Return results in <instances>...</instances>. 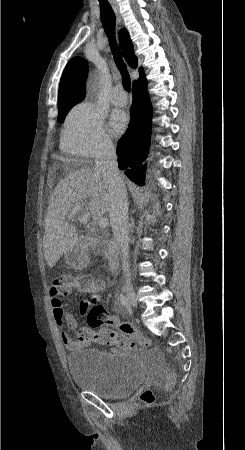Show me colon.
Wrapping results in <instances>:
<instances>
[{
	"instance_id": "obj_1",
	"label": "colon",
	"mask_w": 245,
	"mask_h": 450,
	"mask_svg": "<svg viewBox=\"0 0 245 450\" xmlns=\"http://www.w3.org/2000/svg\"><path fill=\"white\" fill-rule=\"evenodd\" d=\"M58 285L63 288H77L85 292L93 290L90 279L81 274L68 275L60 279ZM87 310V321L92 329L100 328L99 331L84 329L79 331V338L84 341H96L105 345H117L126 348L132 343L146 344L143 338L132 325L120 321L117 317L109 314L107 309L98 301L92 300ZM117 326L119 332L113 330ZM174 377L169 375L166 380V388L174 385ZM140 401L143 403L154 402V395L151 390L145 389L141 392Z\"/></svg>"
}]
</instances>
